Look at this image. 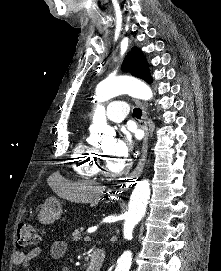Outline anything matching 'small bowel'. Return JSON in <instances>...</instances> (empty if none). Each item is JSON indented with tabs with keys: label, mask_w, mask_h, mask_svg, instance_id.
<instances>
[{
	"label": "small bowel",
	"mask_w": 221,
	"mask_h": 271,
	"mask_svg": "<svg viewBox=\"0 0 221 271\" xmlns=\"http://www.w3.org/2000/svg\"><path fill=\"white\" fill-rule=\"evenodd\" d=\"M67 251V244L64 240H56L50 247V257L53 260L60 259ZM41 254V248L35 247L28 252L16 251L12 255V264L14 267H25L32 260L36 259ZM69 267L61 268V271H69Z\"/></svg>",
	"instance_id": "small-bowel-1"
}]
</instances>
